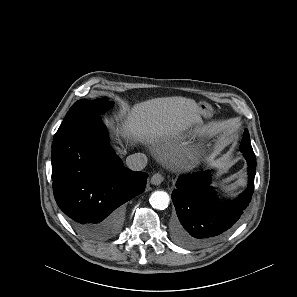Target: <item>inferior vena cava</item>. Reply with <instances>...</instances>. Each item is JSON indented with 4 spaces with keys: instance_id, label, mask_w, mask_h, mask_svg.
Segmentation results:
<instances>
[{
    "instance_id": "inferior-vena-cava-1",
    "label": "inferior vena cava",
    "mask_w": 297,
    "mask_h": 297,
    "mask_svg": "<svg viewBox=\"0 0 297 297\" xmlns=\"http://www.w3.org/2000/svg\"><path fill=\"white\" fill-rule=\"evenodd\" d=\"M148 158L144 153H135L126 158V165L133 171H140L147 165Z\"/></svg>"
}]
</instances>
